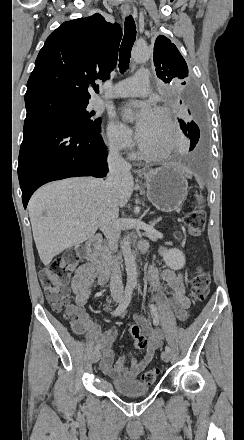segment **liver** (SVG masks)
<instances>
[{"label":"liver","instance_id":"obj_1","mask_svg":"<svg viewBox=\"0 0 244 440\" xmlns=\"http://www.w3.org/2000/svg\"><path fill=\"white\" fill-rule=\"evenodd\" d=\"M97 178H67L50 182L33 194L28 212L33 238L44 266L63 250L83 244L97 232L99 212L104 206L105 188ZM134 192L130 172L114 196L123 208ZM79 220V222H75Z\"/></svg>","mask_w":244,"mask_h":440}]
</instances>
